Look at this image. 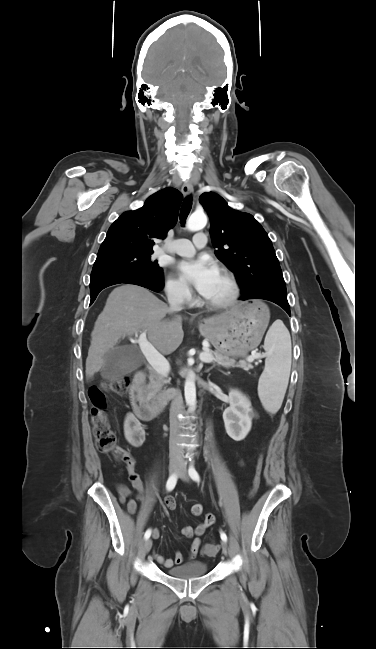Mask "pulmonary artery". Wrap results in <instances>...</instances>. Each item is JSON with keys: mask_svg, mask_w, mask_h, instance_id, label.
Returning a JSON list of instances; mask_svg holds the SVG:
<instances>
[{"mask_svg": "<svg viewBox=\"0 0 376 649\" xmlns=\"http://www.w3.org/2000/svg\"><path fill=\"white\" fill-rule=\"evenodd\" d=\"M207 244V236L203 232L197 233L193 241L187 239H176L171 244L162 248L163 251L181 256H191L196 249H201Z\"/></svg>", "mask_w": 376, "mask_h": 649, "instance_id": "pulmonary-artery-1", "label": "pulmonary artery"}]
</instances>
